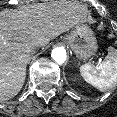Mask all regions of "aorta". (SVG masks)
I'll use <instances>...</instances> for the list:
<instances>
[{
  "label": "aorta",
  "instance_id": "obj_1",
  "mask_svg": "<svg viewBox=\"0 0 117 117\" xmlns=\"http://www.w3.org/2000/svg\"><path fill=\"white\" fill-rule=\"evenodd\" d=\"M51 56L56 63H64L67 58L66 50L62 47L55 48L52 50Z\"/></svg>",
  "mask_w": 117,
  "mask_h": 117
}]
</instances>
